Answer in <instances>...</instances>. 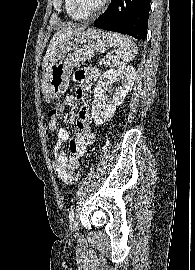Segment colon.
Here are the masks:
<instances>
[{"label":"colon","instance_id":"5ec220e1","mask_svg":"<svg viewBox=\"0 0 195 270\" xmlns=\"http://www.w3.org/2000/svg\"><path fill=\"white\" fill-rule=\"evenodd\" d=\"M63 106L62 105H55L48 111V118L49 121H58L63 113ZM79 179V171H76L74 174H72L66 181L68 185L75 184Z\"/></svg>","mask_w":195,"mask_h":270}]
</instances>
